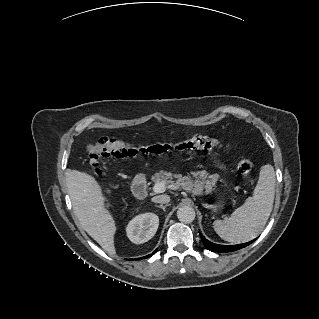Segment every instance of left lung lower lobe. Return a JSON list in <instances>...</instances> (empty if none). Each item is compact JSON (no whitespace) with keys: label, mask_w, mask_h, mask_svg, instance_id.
Wrapping results in <instances>:
<instances>
[{"label":"left lung lower lobe","mask_w":319,"mask_h":319,"mask_svg":"<svg viewBox=\"0 0 319 319\" xmlns=\"http://www.w3.org/2000/svg\"><path fill=\"white\" fill-rule=\"evenodd\" d=\"M200 234V237H201V240L204 244V246L212 251V252H232V251H236V250H239L243 247H246L248 246L249 244L253 243L255 241L252 240L250 242H247V243H244V244H238V245H219V244H214L210 241H208L201 233Z\"/></svg>","instance_id":"obj_1"}]
</instances>
